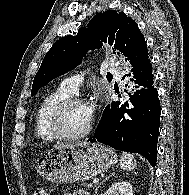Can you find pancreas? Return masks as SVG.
I'll return each mask as SVG.
<instances>
[{
  "label": "pancreas",
  "mask_w": 189,
  "mask_h": 195,
  "mask_svg": "<svg viewBox=\"0 0 189 195\" xmlns=\"http://www.w3.org/2000/svg\"><path fill=\"white\" fill-rule=\"evenodd\" d=\"M88 188H91L92 187V184L89 183V184H85Z\"/></svg>",
  "instance_id": "obj_1"
}]
</instances>
